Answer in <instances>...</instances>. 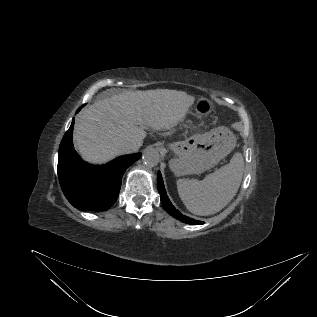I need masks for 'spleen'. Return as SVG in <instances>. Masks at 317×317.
Instances as JSON below:
<instances>
[{
	"label": "spleen",
	"mask_w": 317,
	"mask_h": 317,
	"mask_svg": "<svg viewBox=\"0 0 317 317\" xmlns=\"http://www.w3.org/2000/svg\"><path fill=\"white\" fill-rule=\"evenodd\" d=\"M243 171L244 159L238 152L227 165L207 175L203 180L179 179L178 194L191 213L202 216L215 214L236 195Z\"/></svg>",
	"instance_id": "obj_1"
}]
</instances>
